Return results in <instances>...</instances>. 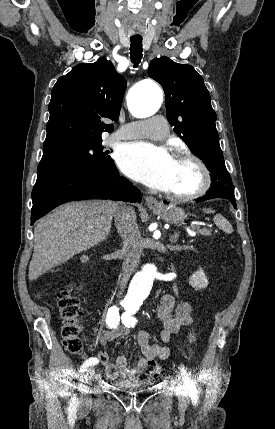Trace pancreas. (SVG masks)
<instances>
[{"instance_id": "1", "label": "pancreas", "mask_w": 275, "mask_h": 429, "mask_svg": "<svg viewBox=\"0 0 275 429\" xmlns=\"http://www.w3.org/2000/svg\"><path fill=\"white\" fill-rule=\"evenodd\" d=\"M197 233L202 235V236H210V230L203 228V229H198Z\"/></svg>"}]
</instances>
